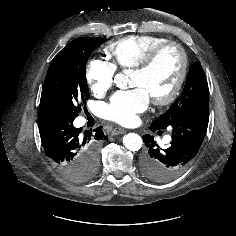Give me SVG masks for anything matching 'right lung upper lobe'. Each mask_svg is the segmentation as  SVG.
Returning <instances> with one entry per match:
<instances>
[{"mask_svg": "<svg viewBox=\"0 0 236 236\" xmlns=\"http://www.w3.org/2000/svg\"><path fill=\"white\" fill-rule=\"evenodd\" d=\"M43 115H47V114H44V113H42V112H39V117H40V116H43Z\"/></svg>", "mask_w": 236, "mask_h": 236, "instance_id": "1", "label": "right lung upper lobe"}]
</instances>
